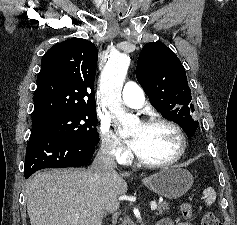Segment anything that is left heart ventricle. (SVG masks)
<instances>
[{
  "mask_svg": "<svg viewBox=\"0 0 237 225\" xmlns=\"http://www.w3.org/2000/svg\"><path fill=\"white\" fill-rule=\"evenodd\" d=\"M131 137L137 141L136 154L146 161L159 162L172 158L179 149L176 133L163 125L136 126Z\"/></svg>",
  "mask_w": 237,
  "mask_h": 225,
  "instance_id": "1",
  "label": "left heart ventricle"
}]
</instances>
